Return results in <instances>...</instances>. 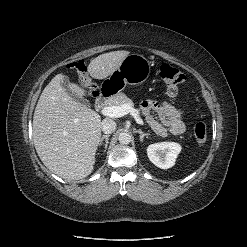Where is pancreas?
Returning a JSON list of instances; mask_svg holds the SVG:
<instances>
[{"mask_svg": "<svg viewBox=\"0 0 247 247\" xmlns=\"http://www.w3.org/2000/svg\"><path fill=\"white\" fill-rule=\"evenodd\" d=\"M124 103L130 104L132 107L134 106L133 101L130 98H128L124 93H117L108 101V104L110 106H120Z\"/></svg>", "mask_w": 247, "mask_h": 247, "instance_id": "cf45deb5", "label": "pancreas"}]
</instances>
